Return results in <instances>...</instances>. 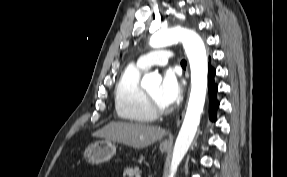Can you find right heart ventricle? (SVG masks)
Segmentation results:
<instances>
[{
  "label": "right heart ventricle",
  "instance_id": "1",
  "mask_svg": "<svg viewBox=\"0 0 287 177\" xmlns=\"http://www.w3.org/2000/svg\"><path fill=\"white\" fill-rule=\"evenodd\" d=\"M144 69L129 65L122 72L114 90V106L117 117L124 122H152L155 114L150 110L145 90L141 86Z\"/></svg>",
  "mask_w": 287,
  "mask_h": 177
}]
</instances>
